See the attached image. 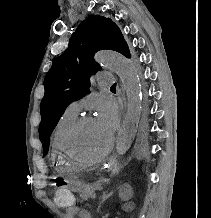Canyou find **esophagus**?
Returning a JSON list of instances; mask_svg holds the SVG:
<instances>
[{"mask_svg":"<svg viewBox=\"0 0 211 218\" xmlns=\"http://www.w3.org/2000/svg\"><path fill=\"white\" fill-rule=\"evenodd\" d=\"M111 163H112V160H111V159H104V160H103V164H102L101 171H102V172H109V171H110V168H111Z\"/></svg>","mask_w":211,"mask_h":218,"instance_id":"34e87169","label":"esophagus"}]
</instances>
